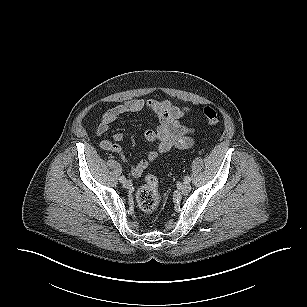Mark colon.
Listing matches in <instances>:
<instances>
[{
    "label": "colon",
    "mask_w": 307,
    "mask_h": 307,
    "mask_svg": "<svg viewBox=\"0 0 307 307\" xmlns=\"http://www.w3.org/2000/svg\"><path fill=\"white\" fill-rule=\"evenodd\" d=\"M203 112L209 125L213 126L219 122V115L215 108L207 106ZM160 200L161 192L158 187V179L154 175L146 176L145 183L136 194L139 208L145 213H154L158 209Z\"/></svg>",
    "instance_id": "1"
}]
</instances>
